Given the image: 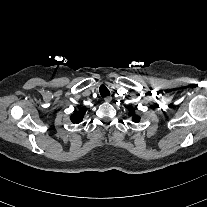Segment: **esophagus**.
I'll list each match as a JSON object with an SVG mask.
<instances>
[{
    "label": "esophagus",
    "instance_id": "34e87169",
    "mask_svg": "<svg viewBox=\"0 0 207 207\" xmlns=\"http://www.w3.org/2000/svg\"><path fill=\"white\" fill-rule=\"evenodd\" d=\"M111 100H112L111 96L104 97V101L107 102V103L111 102Z\"/></svg>",
    "mask_w": 207,
    "mask_h": 207
}]
</instances>
